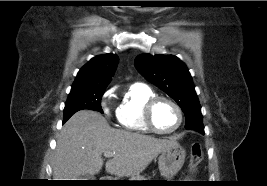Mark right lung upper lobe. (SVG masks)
<instances>
[{"label":"right lung upper lobe","instance_id":"cb5924a9","mask_svg":"<svg viewBox=\"0 0 267 186\" xmlns=\"http://www.w3.org/2000/svg\"><path fill=\"white\" fill-rule=\"evenodd\" d=\"M119 58L116 54L98 55L78 72L71 91L104 89L111 81Z\"/></svg>","mask_w":267,"mask_h":186}]
</instances>
